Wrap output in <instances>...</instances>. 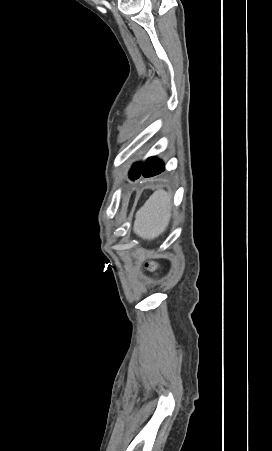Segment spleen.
<instances>
[{
  "instance_id": "3e777b00",
  "label": "spleen",
  "mask_w": 272,
  "mask_h": 451,
  "mask_svg": "<svg viewBox=\"0 0 272 451\" xmlns=\"http://www.w3.org/2000/svg\"><path fill=\"white\" fill-rule=\"evenodd\" d=\"M171 200L168 192L157 190L136 212L133 229L144 239H154L170 222Z\"/></svg>"
}]
</instances>
